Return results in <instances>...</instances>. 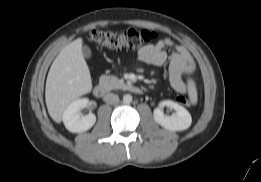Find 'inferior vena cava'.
Instances as JSON below:
<instances>
[{
  "label": "inferior vena cava",
  "mask_w": 261,
  "mask_h": 182,
  "mask_svg": "<svg viewBox=\"0 0 261 182\" xmlns=\"http://www.w3.org/2000/svg\"><path fill=\"white\" fill-rule=\"evenodd\" d=\"M104 101L109 104H116L119 102V97H118V95H116L114 93H107L104 96Z\"/></svg>",
  "instance_id": "602c4592"
}]
</instances>
